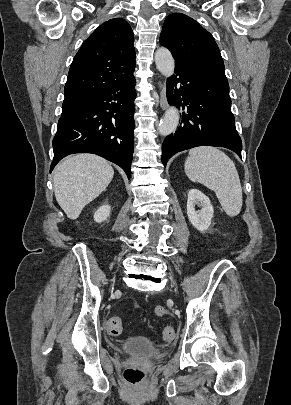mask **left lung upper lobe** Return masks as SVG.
<instances>
[{"mask_svg":"<svg viewBox=\"0 0 291 405\" xmlns=\"http://www.w3.org/2000/svg\"><path fill=\"white\" fill-rule=\"evenodd\" d=\"M175 63L224 72V63L213 36L198 22L182 13L170 14L160 35Z\"/></svg>","mask_w":291,"mask_h":405,"instance_id":"obj_1","label":"left lung upper lobe"}]
</instances>
